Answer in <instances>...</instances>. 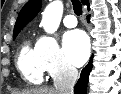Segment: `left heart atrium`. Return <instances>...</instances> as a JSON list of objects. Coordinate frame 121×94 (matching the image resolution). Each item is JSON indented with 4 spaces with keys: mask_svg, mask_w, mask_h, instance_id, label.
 I'll list each match as a JSON object with an SVG mask.
<instances>
[{
    "mask_svg": "<svg viewBox=\"0 0 121 94\" xmlns=\"http://www.w3.org/2000/svg\"><path fill=\"white\" fill-rule=\"evenodd\" d=\"M64 52L68 60L76 65H83L89 55V43L86 34L81 30L69 31L63 38Z\"/></svg>",
    "mask_w": 121,
    "mask_h": 94,
    "instance_id": "39dd6f15",
    "label": "left heart atrium"
}]
</instances>
